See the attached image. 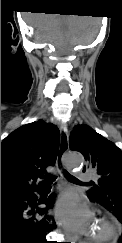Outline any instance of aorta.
Segmentation results:
<instances>
[{"label":"aorta","mask_w":122,"mask_h":243,"mask_svg":"<svg viewBox=\"0 0 122 243\" xmlns=\"http://www.w3.org/2000/svg\"><path fill=\"white\" fill-rule=\"evenodd\" d=\"M83 162L84 159L80 154L71 153L66 157V165L69 169L80 168Z\"/></svg>","instance_id":"762f6f07"}]
</instances>
